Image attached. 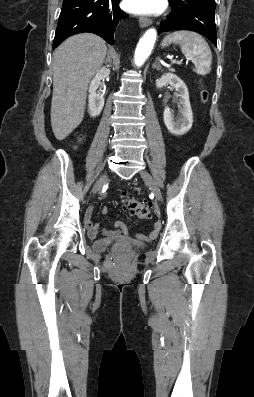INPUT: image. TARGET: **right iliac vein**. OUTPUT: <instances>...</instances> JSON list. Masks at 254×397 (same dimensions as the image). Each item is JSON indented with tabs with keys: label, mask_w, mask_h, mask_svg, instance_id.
I'll return each instance as SVG.
<instances>
[{
	"label": "right iliac vein",
	"mask_w": 254,
	"mask_h": 397,
	"mask_svg": "<svg viewBox=\"0 0 254 397\" xmlns=\"http://www.w3.org/2000/svg\"><path fill=\"white\" fill-rule=\"evenodd\" d=\"M106 180H107V175L103 174L96 182L94 189H93V193H97L102 188V186L105 184Z\"/></svg>",
	"instance_id": "63e3f726"
}]
</instances>
